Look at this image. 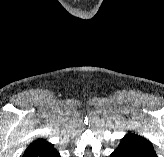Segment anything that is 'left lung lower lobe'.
<instances>
[{
  "instance_id": "0a47b994",
  "label": "left lung lower lobe",
  "mask_w": 164,
  "mask_h": 157,
  "mask_svg": "<svg viewBox=\"0 0 164 157\" xmlns=\"http://www.w3.org/2000/svg\"><path fill=\"white\" fill-rule=\"evenodd\" d=\"M110 157H157V155L150 141L128 133Z\"/></svg>"
}]
</instances>
